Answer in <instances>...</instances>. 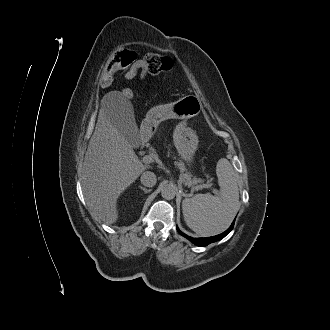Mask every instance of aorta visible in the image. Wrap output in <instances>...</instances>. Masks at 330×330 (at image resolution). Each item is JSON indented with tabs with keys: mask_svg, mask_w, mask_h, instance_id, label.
Segmentation results:
<instances>
[{
	"mask_svg": "<svg viewBox=\"0 0 330 330\" xmlns=\"http://www.w3.org/2000/svg\"><path fill=\"white\" fill-rule=\"evenodd\" d=\"M177 188L173 184H166L161 189V195L166 200H171L175 197Z\"/></svg>",
	"mask_w": 330,
	"mask_h": 330,
	"instance_id": "762f6f07",
	"label": "aorta"
}]
</instances>
